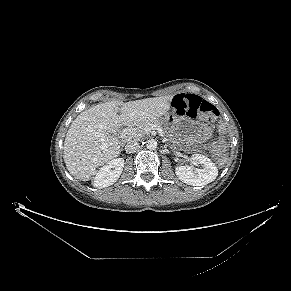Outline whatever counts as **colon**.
Instances as JSON below:
<instances>
[{
    "mask_svg": "<svg viewBox=\"0 0 291 291\" xmlns=\"http://www.w3.org/2000/svg\"><path fill=\"white\" fill-rule=\"evenodd\" d=\"M172 108L176 113L183 116H205L214 119L219 115L218 109L213 104L199 96L178 94L172 101ZM226 150L227 146L223 140L219 139L213 143L212 152L216 157L218 166L225 165L227 161Z\"/></svg>",
    "mask_w": 291,
    "mask_h": 291,
    "instance_id": "colon-1",
    "label": "colon"
}]
</instances>
